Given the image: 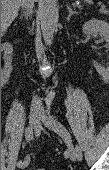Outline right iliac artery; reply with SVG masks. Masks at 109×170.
<instances>
[{"label":"right iliac artery","mask_w":109,"mask_h":170,"mask_svg":"<svg viewBox=\"0 0 109 170\" xmlns=\"http://www.w3.org/2000/svg\"><path fill=\"white\" fill-rule=\"evenodd\" d=\"M32 138H30V132H29V128L26 129V141L29 142ZM23 165V162L22 161H19L17 163V166L18 167H22Z\"/></svg>","instance_id":"1"}]
</instances>
